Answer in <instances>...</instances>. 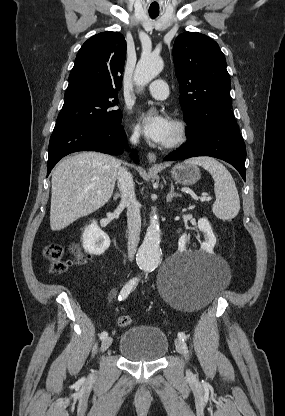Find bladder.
<instances>
[{
  "label": "bladder",
  "mask_w": 285,
  "mask_h": 416,
  "mask_svg": "<svg viewBox=\"0 0 285 416\" xmlns=\"http://www.w3.org/2000/svg\"><path fill=\"white\" fill-rule=\"evenodd\" d=\"M168 337L153 325H136L123 332L118 342L120 355L132 362H157L168 352Z\"/></svg>",
  "instance_id": "1"
}]
</instances>
